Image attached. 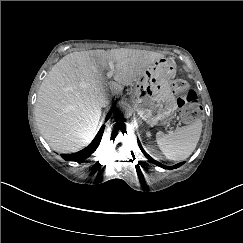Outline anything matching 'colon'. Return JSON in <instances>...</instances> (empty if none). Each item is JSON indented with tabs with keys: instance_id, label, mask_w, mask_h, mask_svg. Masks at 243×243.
<instances>
[{
	"instance_id": "colon-1",
	"label": "colon",
	"mask_w": 243,
	"mask_h": 243,
	"mask_svg": "<svg viewBox=\"0 0 243 243\" xmlns=\"http://www.w3.org/2000/svg\"><path fill=\"white\" fill-rule=\"evenodd\" d=\"M173 92L177 97L181 118L184 122H193L202 115L196 92L182 80L173 84Z\"/></svg>"
}]
</instances>
